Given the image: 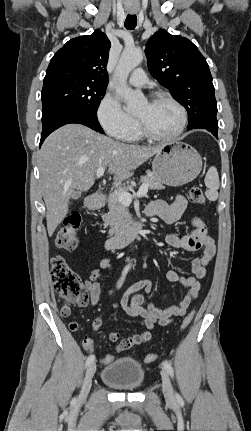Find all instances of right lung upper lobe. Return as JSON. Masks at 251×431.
<instances>
[{
	"label": "right lung upper lobe",
	"instance_id": "1",
	"mask_svg": "<svg viewBox=\"0 0 251 431\" xmlns=\"http://www.w3.org/2000/svg\"><path fill=\"white\" fill-rule=\"evenodd\" d=\"M111 42L100 30L69 40L53 56L46 72L61 70L107 84L106 65Z\"/></svg>",
	"mask_w": 251,
	"mask_h": 431
}]
</instances>
